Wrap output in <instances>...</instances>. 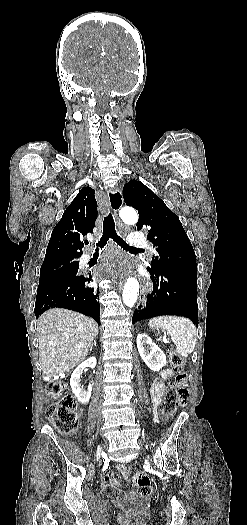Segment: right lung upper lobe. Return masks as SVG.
Here are the masks:
<instances>
[{
    "mask_svg": "<svg viewBox=\"0 0 247 525\" xmlns=\"http://www.w3.org/2000/svg\"><path fill=\"white\" fill-rule=\"evenodd\" d=\"M94 193L92 188L84 187L67 207L52 231L41 270L57 261L81 256L84 246L81 238L92 233L97 218Z\"/></svg>",
    "mask_w": 247,
    "mask_h": 525,
    "instance_id": "right-lung-upper-lobe-1",
    "label": "right lung upper lobe"
}]
</instances>
